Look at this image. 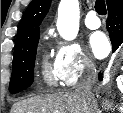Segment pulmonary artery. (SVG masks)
Returning <instances> with one entry per match:
<instances>
[{"label":"pulmonary artery","instance_id":"obj_1","mask_svg":"<svg viewBox=\"0 0 123 113\" xmlns=\"http://www.w3.org/2000/svg\"><path fill=\"white\" fill-rule=\"evenodd\" d=\"M84 22L86 27L89 29H98L101 26L100 18L97 16L94 10H91L87 13Z\"/></svg>","mask_w":123,"mask_h":113}]
</instances>
